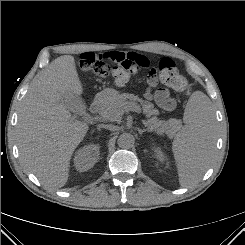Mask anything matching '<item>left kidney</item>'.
Instances as JSON below:
<instances>
[{
  "label": "left kidney",
  "instance_id": "left-kidney-1",
  "mask_svg": "<svg viewBox=\"0 0 245 245\" xmlns=\"http://www.w3.org/2000/svg\"><path fill=\"white\" fill-rule=\"evenodd\" d=\"M156 157L160 161H164L165 160L164 154L162 153V151L159 148L156 149Z\"/></svg>",
  "mask_w": 245,
  "mask_h": 245
}]
</instances>
